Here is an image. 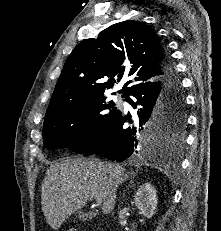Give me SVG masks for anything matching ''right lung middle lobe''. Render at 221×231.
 <instances>
[{
  "label": "right lung middle lobe",
  "mask_w": 221,
  "mask_h": 231,
  "mask_svg": "<svg viewBox=\"0 0 221 231\" xmlns=\"http://www.w3.org/2000/svg\"><path fill=\"white\" fill-rule=\"evenodd\" d=\"M114 105L112 101L106 104L105 96L69 101L45 118L43 143L51 150L75 148L109 124L119 112ZM185 126V104L163 97L149 124L150 131L164 142L170 139L180 145L183 142Z\"/></svg>",
  "instance_id": "dd1d6c3e"
}]
</instances>
